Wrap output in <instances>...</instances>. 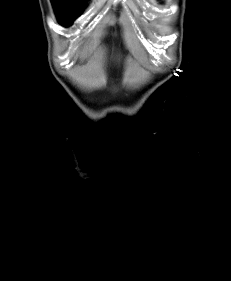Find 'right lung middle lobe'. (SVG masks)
<instances>
[{"instance_id":"1","label":"right lung middle lobe","mask_w":231,"mask_h":281,"mask_svg":"<svg viewBox=\"0 0 231 281\" xmlns=\"http://www.w3.org/2000/svg\"><path fill=\"white\" fill-rule=\"evenodd\" d=\"M85 0H53L52 4L60 24L70 25L80 14Z\"/></svg>"}]
</instances>
